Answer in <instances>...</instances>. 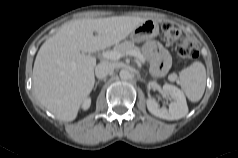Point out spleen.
<instances>
[{"instance_id":"spleen-1","label":"spleen","mask_w":238,"mask_h":158,"mask_svg":"<svg viewBox=\"0 0 238 158\" xmlns=\"http://www.w3.org/2000/svg\"><path fill=\"white\" fill-rule=\"evenodd\" d=\"M180 85L187 98L198 102L205 91L206 70L201 62L195 61L179 73Z\"/></svg>"}]
</instances>
